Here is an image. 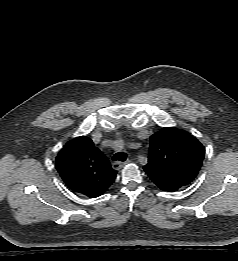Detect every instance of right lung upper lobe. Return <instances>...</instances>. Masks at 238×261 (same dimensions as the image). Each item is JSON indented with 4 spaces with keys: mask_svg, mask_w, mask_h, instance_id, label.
I'll use <instances>...</instances> for the list:
<instances>
[{
    "mask_svg": "<svg viewBox=\"0 0 238 261\" xmlns=\"http://www.w3.org/2000/svg\"><path fill=\"white\" fill-rule=\"evenodd\" d=\"M55 165L70 189L90 198L102 195L117 173L86 136L66 143L57 155Z\"/></svg>",
    "mask_w": 238,
    "mask_h": 261,
    "instance_id": "right-lung-upper-lobe-1",
    "label": "right lung upper lobe"
}]
</instances>
